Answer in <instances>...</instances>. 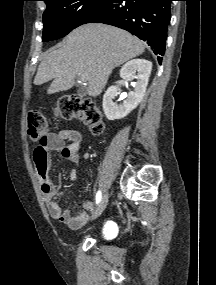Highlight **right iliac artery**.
<instances>
[{
  "mask_svg": "<svg viewBox=\"0 0 216 285\" xmlns=\"http://www.w3.org/2000/svg\"><path fill=\"white\" fill-rule=\"evenodd\" d=\"M101 198H102V193L99 190L96 194V204H98L100 202Z\"/></svg>",
  "mask_w": 216,
  "mask_h": 285,
  "instance_id": "right-iliac-artery-1",
  "label": "right iliac artery"
}]
</instances>
